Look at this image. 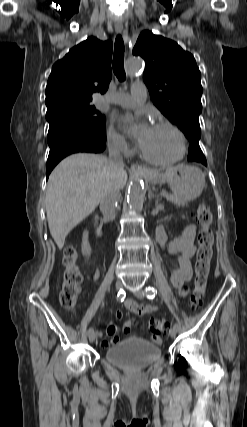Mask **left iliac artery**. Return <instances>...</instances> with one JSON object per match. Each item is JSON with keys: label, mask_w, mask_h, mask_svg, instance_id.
<instances>
[{"label": "left iliac artery", "mask_w": 247, "mask_h": 427, "mask_svg": "<svg viewBox=\"0 0 247 427\" xmlns=\"http://www.w3.org/2000/svg\"><path fill=\"white\" fill-rule=\"evenodd\" d=\"M145 293H146V296H147L148 299H153L154 296H155V294L157 293V291L153 287L149 286V287H146ZM174 327L177 328V329L180 328V326H179L178 323H175Z\"/></svg>", "instance_id": "obj_1"}]
</instances>
